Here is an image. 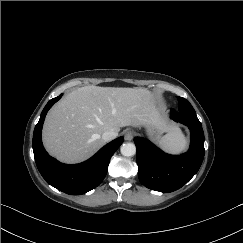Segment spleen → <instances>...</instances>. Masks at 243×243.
<instances>
[{
    "mask_svg": "<svg viewBox=\"0 0 243 243\" xmlns=\"http://www.w3.org/2000/svg\"><path fill=\"white\" fill-rule=\"evenodd\" d=\"M160 146L168 152L179 153L186 149L187 140L179 128H174L160 139Z\"/></svg>",
    "mask_w": 243,
    "mask_h": 243,
    "instance_id": "spleen-1",
    "label": "spleen"
}]
</instances>
